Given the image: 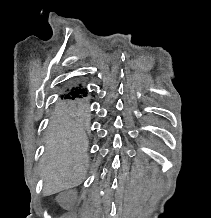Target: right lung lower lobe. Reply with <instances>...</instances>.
Wrapping results in <instances>:
<instances>
[{"label": "right lung lower lobe", "instance_id": "right-lung-lower-lobe-1", "mask_svg": "<svg viewBox=\"0 0 211 218\" xmlns=\"http://www.w3.org/2000/svg\"><path fill=\"white\" fill-rule=\"evenodd\" d=\"M88 96L86 88L79 83L67 85L60 95V98H85Z\"/></svg>", "mask_w": 211, "mask_h": 218}]
</instances>
